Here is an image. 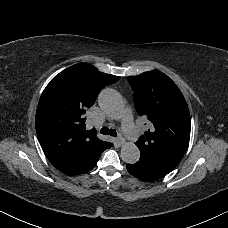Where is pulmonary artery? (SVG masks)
I'll return each instance as SVG.
<instances>
[{
    "label": "pulmonary artery",
    "mask_w": 228,
    "mask_h": 228,
    "mask_svg": "<svg viewBox=\"0 0 228 228\" xmlns=\"http://www.w3.org/2000/svg\"><path fill=\"white\" fill-rule=\"evenodd\" d=\"M127 106V115L120 121V129L127 139H136L143 134V129L140 126H135L134 120H132V108L129 105Z\"/></svg>",
    "instance_id": "e3ab8cb5"
}]
</instances>
